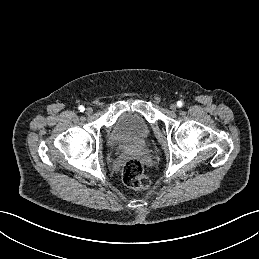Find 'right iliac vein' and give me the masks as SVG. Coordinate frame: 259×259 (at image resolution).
I'll list each match as a JSON object with an SVG mask.
<instances>
[{
  "label": "right iliac vein",
  "mask_w": 259,
  "mask_h": 259,
  "mask_svg": "<svg viewBox=\"0 0 259 259\" xmlns=\"http://www.w3.org/2000/svg\"><path fill=\"white\" fill-rule=\"evenodd\" d=\"M85 112H86L87 115H91L92 112H93V109L89 107V108L86 109Z\"/></svg>",
  "instance_id": "63e3f726"
}]
</instances>
